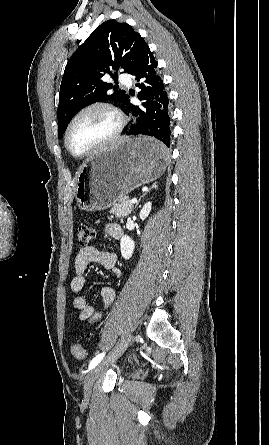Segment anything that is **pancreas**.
<instances>
[{
  "mask_svg": "<svg viewBox=\"0 0 269 445\" xmlns=\"http://www.w3.org/2000/svg\"><path fill=\"white\" fill-rule=\"evenodd\" d=\"M133 210V204L127 197L121 198L118 203H116L110 213L114 214L117 218L127 217Z\"/></svg>",
  "mask_w": 269,
  "mask_h": 445,
  "instance_id": "cf45deb5",
  "label": "pancreas"
}]
</instances>
